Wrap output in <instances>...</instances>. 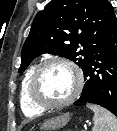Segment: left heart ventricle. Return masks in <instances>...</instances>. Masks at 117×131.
Returning a JSON list of instances; mask_svg holds the SVG:
<instances>
[{
    "instance_id": "b2bd125f",
    "label": "left heart ventricle",
    "mask_w": 117,
    "mask_h": 131,
    "mask_svg": "<svg viewBox=\"0 0 117 131\" xmlns=\"http://www.w3.org/2000/svg\"><path fill=\"white\" fill-rule=\"evenodd\" d=\"M76 86L74 72L63 65H51L42 70L36 84V93L46 102H60L68 98Z\"/></svg>"
}]
</instances>
